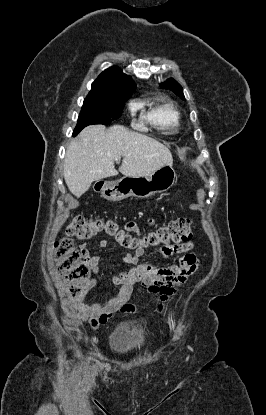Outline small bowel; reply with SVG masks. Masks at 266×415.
Returning <instances> with one entry per match:
<instances>
[{"label":"small bowel","instance_id":"obj_1","mask_svg":"<svg viewBox=\"0 0 266 415\" xmlns=\"http://www.w3.org/2000/svg\"><path fill=\"white\" fill-rule=\"evenodd\" d=\"M148 223L153 224L154 220L149 218ZM125 229L134 233L138 232L135 222H128ZM99 245L102 249H106L108 242L101 240ZM193 248L192 241L158 247L156 252L161 258V263L150 264L141 263L145 248L138 246L133 255L126 254L122 257V262L130 265L129 269L108 278L111 284L121 287L120 291L106 301H93L90 298V292L97 284L98 278H87L82 282L80 292L74 294L73 306L75 310L93 328L105 324L116 312L132 313L135 311V306L129 304L128 301L132 294L133 284L136 282H140L148 288L149 292L155 296V302L161 308L162 303L174 295L198 270L200 263L198 258L191 253ZM80 249L86 256L90 268L98 273L99 256L89 257L84 244L80 246ZM175 254H184V256L178 263L171 264L170 259Z\"/></svg>","mask_w":266,"mask_h":415}]
</instances>
